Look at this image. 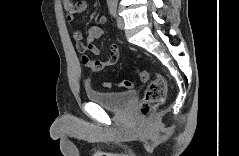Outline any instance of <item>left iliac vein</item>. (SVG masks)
Instances as JSON below:
<instances>
[{
  "instance_id": "4c4485c4",
  "label": "left iliac vein",
  "mask_w": 239,
  "mask_h": 156,
  "mask_svg": "<svg viewBox=\"0 0 239 156\" xmlns=\"http://www.w3.org/2000/svg\"><path fill=\"white\" fill-rule=\"evenodd\" d=\"M117 26L121 30L124 28V20L120 16L117 17Z\"/></svg>"
}]
</instances>
